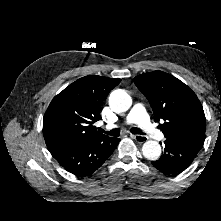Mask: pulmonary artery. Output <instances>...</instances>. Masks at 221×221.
I'll use <instances>...</instances> for the list:
<instances>
[{
  "instance_id": "1",
  "label": "pulmonary artery",
  "mask_w": 221,
  "mask_h": 221,
  "mask_svg": "<svg viewBox=\"0 0 221 221\" xmlns=\"http://www.w3.org/2000/svg\"><path fill=\"white\" fill-rule=\"evenodd\" d=\"M126 124L138 125L146 134L151 138L160 140L164 138L163 133L156 128V126L150 121L149 116L142 104H135L131 112L127 116Z\"/></svg>"
}]
</instances>
